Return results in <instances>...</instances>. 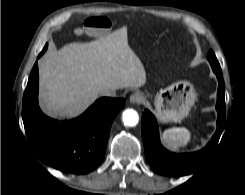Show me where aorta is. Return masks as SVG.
<instances>
[{
	"instance_id": "obj_1",
	"label": "aorta",
	"mask_w": 245,
	"mask_h": 195,
	"mask_svg": "<svg viewBox=\"0 0 245 195\" xmlns=\"http://www.w3.org/2000/svg\"><path fill=\"white\" fill-rule=\"evenodd\" d=\"M123 122L125 125L133 127L138 124V113L133 109H127L122 114Z\"/></svg>"
}]
</instances>
